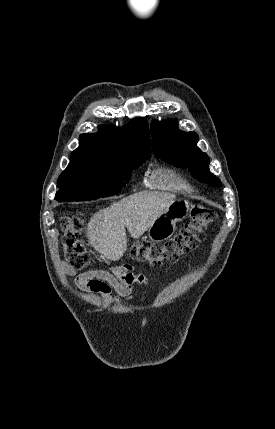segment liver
<instances>
[{"label": "liver", "instance_id": "1", "mask_svg": "<svg viewBox=\"0 0 275 429\" xmlns=\"http://www.w3.org/2000/svg\"><path fill=\"white\" fill-rule=\"evenodd\" d=\"M174 201V194L155 191L127 196L91 217L89 242L107 259L118 261L127 249L125 227L132 237H140Z\"/></svg>", "mask_w": 275, "mask_h": 429}]
</instances>
